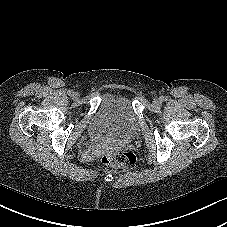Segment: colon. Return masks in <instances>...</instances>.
<instances>
[{
  "instance_id": "colon-1",
  "label": "colon",
  "mask_w": 227,
  "mask_h": 227,
  "mask_svg": "<svg viewBox=\"0 0 227 227\" xmlns=\"http://www.w3.org/2000/svg\"><path fill=\"white\" fill-rule=\"evenodd\" d=\"M102 162L112 168H125L133 165L136 161L135 155L130 151L110 152L102 156Z\"/></svg>"
}]
</instances>
